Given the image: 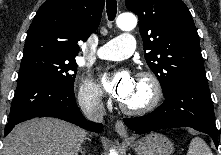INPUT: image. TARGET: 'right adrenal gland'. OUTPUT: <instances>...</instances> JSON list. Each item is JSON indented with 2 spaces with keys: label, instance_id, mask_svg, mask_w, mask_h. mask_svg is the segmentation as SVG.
Instances as JSON below:
<instances>
[{
  "label": "right adrenal gland",
  "instance_id": "2a0ac1e0",
  "mask_svg": "<svg viewBox=\"0 0 221 155\" xmlns=\"http://www.w3.org/2000/svg\"><path fill=\"white\" fill-rule=\"evenodd\" d=\"M81 155H85V148H80Z\"/></svg>",
  "mask_w": 221,
  "mask_h": 155
}]
</instances>
